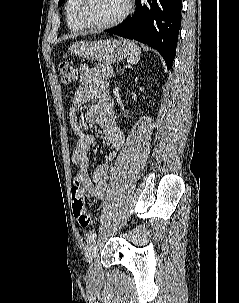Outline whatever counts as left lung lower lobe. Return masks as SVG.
I'll return each mask as SVG.
<instances>
[{"label": "left lung lower lobe", "mask_w": 239, "mask_h": 303, "mask_svg": "<svg viewBox=\"0 0 239 303\" xmlns=\"http://www.w3.org/2000/svg\"><path fill=\"white\" fill-rule=\"evenodd\" d=\"M181 0H136L135 13L123 24L105 30L156 49L171 69L181 27Z\"/></svg>", "instance_id": "left-lung-lower-lobe-1"}]
</instances>
